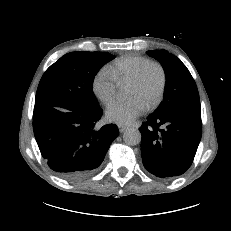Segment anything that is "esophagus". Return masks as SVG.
<instances>
[{
    "label": "esophagus",
    "instance_id": "esophagus-1",
    "mask_svg": "<svg viewBox=\"0 0 231 231\" xmlns=\"http://www.w3.org/2000/svg\"><path fill=\"white\" fill-rule=\"evenodd\" d=\"M118 128H119V131H120L121 133H123L125 130L128 129V126H126V125H119Z\"/></svg>",
    "mask_w": 231,
    "mask_h": 231
}]
</instances>
